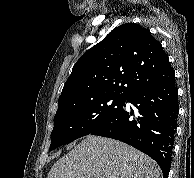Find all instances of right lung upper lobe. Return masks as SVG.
I'll return each instance as SVG.
<instances>
[{
    "instance_id": "right-lung-upper-lobe-1",
    "label": "right lung upper lobe",
    "mask_w": 194,
    "mask_h": 178,
    "mask_svg": "<svg viewBox=\"0 0 194 178\" xmlns=\"http://www.w3.org/2000/svg\"><path fill=\"white\" fill-rule=\"evenodd\" d=\"M173 74L168 56L150 31L125 23L75 63L59 97L58 110L98 96L128 98Z\"/></svg>"
}]
</instances>
